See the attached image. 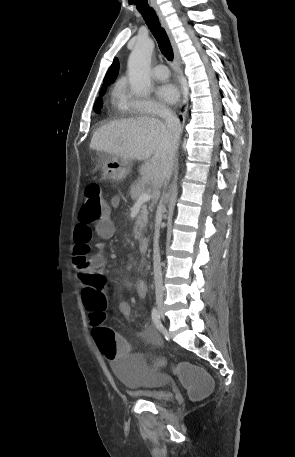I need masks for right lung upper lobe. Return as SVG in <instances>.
<instances>
[{
	"instance_id": "cb5924a9",
	"label": "right lung upper lobe",
	"mask_w": 295,
	"mask_h": 457,
	"mask_svg": "<svg viewBox=\"0 0 295 457\" xmlns=\"http://www.w3.org/2000/svg\"><path fill=\"white\" fill-rule=\"evenodd\" d=\"M118 70H119V62H118V59L115 58L104 78L103 87H106L107 85L111 84L114 81V79L116 78V76L118 74Z\"/></svg>"
}]
</instances>
